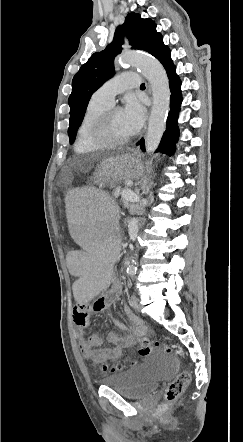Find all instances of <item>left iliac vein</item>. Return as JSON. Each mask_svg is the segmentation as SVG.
<instances>
[{
	"label": "left iliac vein",
	"mask_w": 243,
	"mask_h": 442,
	"mask_svg": "<svg viewBox=\"0 0 243 442\" xmlns=\"http://www.w3.org/2000/svg\"><path fill=\"white\" fill-rule=\"evenodd\" d=\"M132 304H133L134 309H135L136 311H139V309H140V305H139L138 298H137L136 296H133V297H132Z\"/></svg>",
	"instance_id": "left-iliac-vein-1"
}]
</instances>
